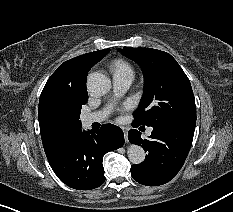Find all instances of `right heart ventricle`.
Masks as SVG:
<instances>
[{
	"label": "right heart ventricle",
	"instance_id": "1",
	"mask_svg": "<svg viewBox=\"0 0 233 212\" xmlns=\"http://www.w3.org/2000/svg\"><path fill=\"white\" fill-rule=\"evenodd\" d=\"M111 70L114 75L118 74H130L133 75V69L131 65L122 59H116L111 64Z\"/></svg>",
	"mask_w": 233,
	"mask_h": 212
}]
</instances>
